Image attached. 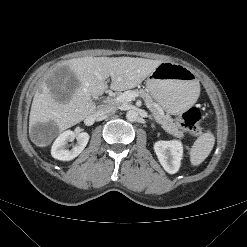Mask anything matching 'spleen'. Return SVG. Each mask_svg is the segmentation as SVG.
I'll return each instance as SVG.
<instances>
[{"instance_id": "1", "label": "spleen", "mask_w": 247, "mask_h": 247, "mask_svg": "<svg viewBox=\"0 0 247 247\" xmlns=\"http://www.w3.org/2000/svg\"><path fill=\"white\" fill-rule=\"evenodd\" d=\"M214 143L215 137L209 131L199 136L190 151L191 164L194 166L201 164L209 156Z\"/></svg>"}]
</instances>
